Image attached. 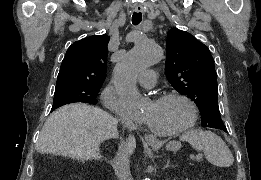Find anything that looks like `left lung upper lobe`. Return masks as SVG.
<instances>
[{"mask_svg":"<svg viewBox=\"0 0 261 180\" xmlns=\"http://www.w3.org/2000/svg\"><path fill=\"white\" fill-rule=\"evenodd\" d=\"M165 73L176 91L196 103L203 127L226 130L218 107L214 61L206 45L188 32L169 30Z\"/></svg>","mask_w":261,"mask_h":180,"instance_id":"1","label":"left lung upper lobe"}]
</instances>
